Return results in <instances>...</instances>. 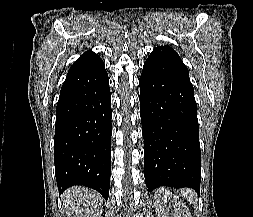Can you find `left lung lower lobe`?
<instances>
[{
  "label": "left lung lower lobe",
  "instance_id": "1",
  "mask_svg": "<svg viewBox=\"0 0 253 217\" xmlns=\"http://www.w3.org/2000/svg\"><path fill=\"white\" fill-rule=\"evenodd\" d=\"M139 85L148 191L171 186L199 192V127L188 71L152 52L144 63Z\"/></svg>",
  "mask_w": 253,
  "mask_h": 217
}]
</instances>
